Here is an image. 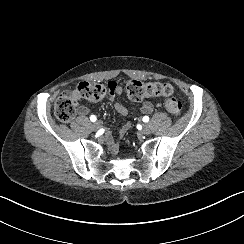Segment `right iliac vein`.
Wrapping results in <instances>:
<instances>
[{
  "instance_id": "1",
  "label": "right iliac vein",
  "mask_w": 244,
  "mask_h": 244,
  "mask_svg": "<svg viewBox=\"0 0 244 244\" xmlns=\"http://www.w3.org/2000/svg\"><path fill=\"white\" fill-rule=\"evenodd\" d=\"M92 126L93 129L97 131L101 127V123L99 121H95Z\"/></svg>"
}]
</instances>
